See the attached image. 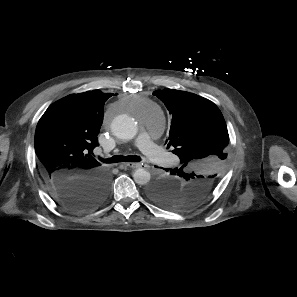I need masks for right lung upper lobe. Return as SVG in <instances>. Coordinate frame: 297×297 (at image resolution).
Instances as JSON below:
<instances>
[{
  "label": "right lung upper lobe",
  "instance_id": "right-lung-upper-lobe-1",
  "mask_svg": "<svg viewBox=\"0 0 297 297\" xmlns=\"http://www.w3.org/2000/svg\"><path fill=\"white\" fill-rule=\"evenodd\" d=\"M112 93L99 90L71 94L52 104L39 120L35 151L45 182L55 175L79 179L102 171L94 159L104 103Z\"/></svg>",
  "mask_w": 297,
  "mask_h": 297
}]
</instances>
